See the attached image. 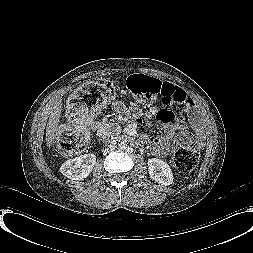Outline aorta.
<instances>
[{"mask_svg": "<svg viewBox=\"0 0 253 253\" xmlns=\"http://www.w3.org/2000/svg\"><path fill=\"white\" fill-rule=\"evenodd\" d=\"M118 147H119V149H120V150H122V151H123V150H125V149H126L127 145H126V143H125V142H123V141H122V142H120V143H119Z\"/></svg>", "mask_w": 253, "mask_h": 253, "instance_id": "762f6f07", "label": "aorta"}]
</instances>
